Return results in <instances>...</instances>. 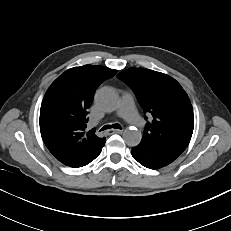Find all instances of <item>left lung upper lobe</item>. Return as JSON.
I'll return each mask as SVG.
<instances>
[{
    "label": "left lung upper lobe",
    "mask_w": 231,
    "mask_h": 231,
    "mask_svg": "<svg viewBox=\"0 0 231 231\" xmlns=\"http://www.w3.org/2000/svg\"><path fill=\"white\" fill-rule=\"evenodd\" d=\"M117 77L130 86L144 113L153 118L146 123L141 142L163 144L182 153L192 137L194 115L181 85L164 73L145 68H130Z\"/></svg>",
    "instance_id": "left-lung-upper-lobe-1"
}]
</instances>
